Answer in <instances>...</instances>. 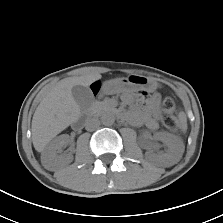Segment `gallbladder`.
I'll use <instances>...</instances> for the list:
<instances>
[{"label":"gallbladder","mask_w":223,"mask_h":223,"mask_svg":"<svg viewBox=\"0 0 223 223\" xmlns=\"http://www.w3.org/2000/svg\"><path fill=\"white\" fill-rule=\"evenodd\" d=\"M72 96L81 108L88 107L93 100L90 88L82 85H76L72 88Z\"/></svg>","instance_id":"bac80fb5"}]
</instances>
